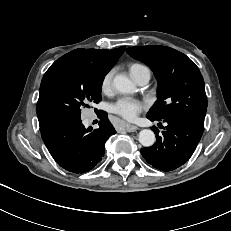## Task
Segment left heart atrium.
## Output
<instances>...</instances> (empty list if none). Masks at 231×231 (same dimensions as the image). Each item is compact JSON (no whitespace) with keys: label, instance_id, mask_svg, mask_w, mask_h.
Listing matches in <instances>:
<instances>
[{"label":"left heart atrium","instance_id":"obj_1","mask_svg":"<svg viewBox=\"0 0 231 231\" xmlns=\"http://www.w3.org/2000/svg\"><path fill=\"white\" fill-rule=\"evenodd\" d=\"M145 106L133 98L124 97L112 105V111L126 120H134Z\"/></svg>","mask_w":231,"mask_h":231}]
</instances>
